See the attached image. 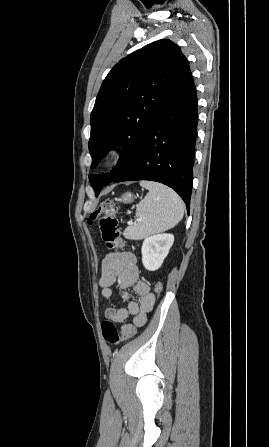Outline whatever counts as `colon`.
I'll list each match as a JSON object with an SVG mask.
<instances>
[{
	"mask_svg": "<svg viewBox=\"0 0 269 447\" xmlns=\"http://www.w3.org/2000/svg\"><path fill=\"white\" fill-rule=\"evenodd\" d=\"M116 213L117 207L112 201H102L89 215V223L97 224L100 238L107 247L113 250L123 251L126 249V246L118 239L119 222ZM162 289V282H157L154 287L155 297L161 294ZM101 331L106 341L111 344L124 343L127 340L126 335L121 334L122 331L110 321L102 322ZM136 334L140 335L141 331L137 330ZM131 337L134 339L136 336L133 334Z\"/></svg>",
	"mask_w": 269,
	"mask_h": 447,
	"instance_id": "colon-1",
	"label": "colon"
}]
</instances>
